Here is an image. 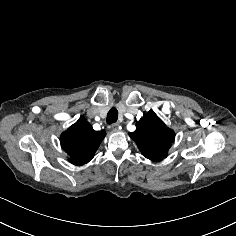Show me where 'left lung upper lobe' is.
Here are the masks:
<instances>
[{"mask_svg": "<svg viewBox=\"0 0 236 236\" xmlns=\"http://www.w3.org/2000/svg\"><path fill=\"white\" fill-rule=\"evenodd\" d=\"M129 136L146 158L160 161L167 156L175 133L153 111H149L137 122L136 130Z\"/></svg>", "mask_w": 236, "mask_h": 236, "instance_id": "obj_1", "label": "left lung upper lobe"}]
</instances>
